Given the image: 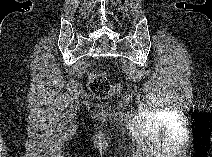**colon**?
<instances>
[{
  "label": "colon",
  "instance_id": "colon-1",
  "mask_svg": "<svg viewBox=\"0 0 212 157\" xmlns=\"http://www.w3.org/2000/svg\"><path fill=\"white\" fill-rule=\"evenodd\" d=\"M88 86L90 91L99 98H107L116 90V87L103 73L91 75Z\"/></svg>",
  "mask_w": 212,
  "mask_h": 157
}]
</instances>
